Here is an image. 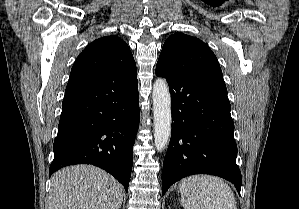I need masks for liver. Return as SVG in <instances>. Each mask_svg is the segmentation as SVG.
<instances>
[{
	"label": "liver",
	"instance_id": "liver-1",
	"mask_svg": "<svg viewBox=\"0 0 299 209\" xmlns=\"http://www.w3.org/2000/svg\"><path fill=\"white\" fill-rule=\"evenodd\" d=\"M50 209H119L124 190L110 174L91 165H75L52 179Z\"/></svg>",
	"mask_w": 299,
	"mask_h": 209
}]
</instances>
